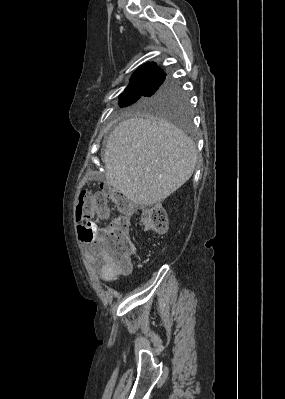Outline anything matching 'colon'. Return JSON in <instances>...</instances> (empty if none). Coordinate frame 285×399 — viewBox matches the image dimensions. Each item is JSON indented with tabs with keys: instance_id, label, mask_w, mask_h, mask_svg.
Here are the masks:
<instances>
[{
	"instance_id": "1",
	"label": "colon",
	"mask_w": 285,
	"mask_h": 399,
	"mask_svg": "<svg viewBox=\"0 0 285 399\" xmlns=\"http://www.w3.org/2000/svg\"><path fill=\"white\" fill-rule=\"evenodd\" d=\"M113 203L118 204L130 214L138 215L146 229L162 234L166 232L167 218L160 204H149L144 208L132 207L107 184L101 185L96 191L82 189L79 192L75 208L76 220L93 222L96 218L107 219L106 208ZM78 231L85 239L92 240L93 238L101 246L105 257L118 271H128L134 252L128 236L129 223L126 217H120L110 225L98 227L95 232L78 225Z\"/></svg>"
}]
</instances>
